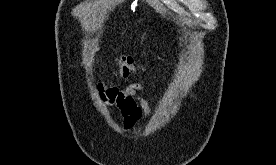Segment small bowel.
I'll list each match as a JSON object with an SVG mask.
<instances>
[{
    "instance_id": "1",
    "label": "small bowel",
    "mask_w": 276,
    "mask_h": 165,
    "mask_svg": "<svg viewBox=\"0 0 276 165\" xmlns=\"http://www.w3.org/2000/svg\"><path fill=\"white\" fill-rule=\"evenodd\" d=\"M145 86L139 82H131L124 88L98 85L99 100L108 106H115L120 111L126 129L132 128L143 117L151 116V107L139 93Z\"/></svg>"
}]
</instances>
